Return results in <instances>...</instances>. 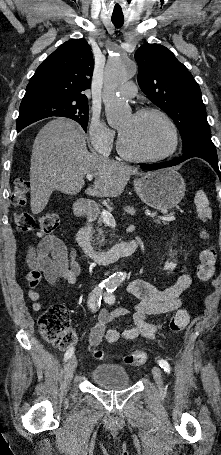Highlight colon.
I'll use <instances>...</instances> for the list:
<instances>
[{
	"instance_id": "obj_1",
	"label": "colon",
	"mask_w": 221,
	"mask_h": 455,
	"mask_svg": "<svg viewBox=\"0 0 221 455\" xmlns=\"http://www.w3.org/2000/svg\"><path fill=\"white\" fill-rule=\"evenodd\" d=\"M30 192V183L24 178H17L11 195V202L15 208L25 205ZM14 220L22 232H31L37 229L38 235H47L55 231L59 224V216L55 213H45L35 217L28 212H14ZM216 250L208 245L199 256L196 269L197 277L202 282L209 281L215 270ZM189 315L186 310H177L170 321L171 330L178 332L188 324ZM40 334L52 344L66 348L75 342V334L71 329L69 312L63 305H53L47 309L38 320ZM90 350L96 359L102 358V352L91 344ZM147 354L143 351H134L128 354L125 362L131 366H141L147 362Z\"/></svg>"
}]
</instances>
